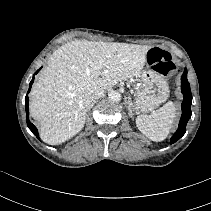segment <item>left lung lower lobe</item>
I'll use <instances>...</instances> for the list:
<instances>
[{"label":"left lung lower lobe","mask_w":211,"mask_h":211,"mask_svg":"<svg viewBox=\"0 0 211 211\" xmlns=\"http://www.w3.org/2000/svg\"><path fill=\"white\" fill-rule=\"evenodd\" d=\"M181 91L183 93V102H182V116L179 122V127L175 134L171 137V144L178 141L186 132V125L188 120L191 118V104H192V94L190 91V84L187 80V70H184V73L181 77Z\"/></svg>","instance_id":"1"}]
</instances>
